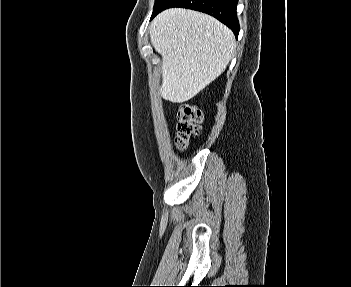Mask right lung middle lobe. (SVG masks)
Wrapping results in <instances>:
<instances>
[{
	"instance_id": "right-lung-middle-lobe-1",
	"label": "right lung middle lobe",
	"mask_w": 351,
	"mask_h": 287,
	"mask_svg": "<svg viewBox=\"0 0 351 287\" xmlns=\"http://www.w3.org/2000/svg\"><path fill=\"white\" fill-rule=\"evenodd\" d=\"M161 0H155V6L154 8L158 5V3L160 2Z\"/></svg>"
}]
</instances>
